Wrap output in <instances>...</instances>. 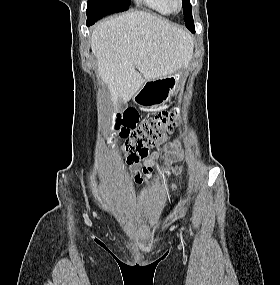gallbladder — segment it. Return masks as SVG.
Segmentation results:
<instances>
[{
  "label": "gallbladder",
  "instance_id": "1",
  "mask_svg": "<svg viewBox=\"0 0 280 285\" xmlns=\"http://www.w3.org/2000/svg\"><path fill=\"white\" fill-rule=\"evenodd\" d=\"M126 106L127 105H126V103L124 101H122V100L119 101L118 107H119L120 111H123L126 108Z\"/></svg>",
  "mask_w": 280,
  "mask_h": 285
}]
</instances>
